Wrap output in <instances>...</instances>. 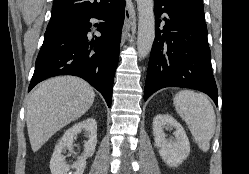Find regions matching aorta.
Masks as SVG:
<instances>
[{"mask_svg": "<svg viewBox=\"0 0 249 174\" xmlns=\"http://www.w3.org/2000/svg\"><path fill=\"white\" fill-rule=\"evenodd\" d=\"M138 9L137 50L140 58L151 51L155 38L154 0H136Z\"/></svg>", "mask_w": 249, "mask_h": 174, "instance_id": "aorta-1", "label": "aorta"}]
</instances>
